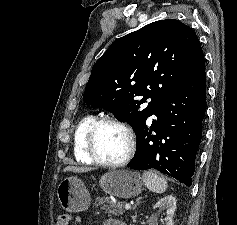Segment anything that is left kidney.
Returning a JSON list of instances; mask_svg holds the SVG:
<instances>
[{
  "label": "left kidney",
  "mask_w": 237,
  "mask_h": 225,
  "mask_svg": "<svg viewBox=\"0 0 237 225\" xmlns=\"http://www.w3.org/2000/svg\"><path fill=\"white\" fill-rule=\"evenodd\" d=\"M166 210L165 224L173 225V215L176 209V199L172 195L160 199L154 206V209Z\"/></svg>",
  "instance_id": "obj_1"
}]
</instances>
